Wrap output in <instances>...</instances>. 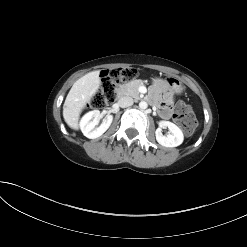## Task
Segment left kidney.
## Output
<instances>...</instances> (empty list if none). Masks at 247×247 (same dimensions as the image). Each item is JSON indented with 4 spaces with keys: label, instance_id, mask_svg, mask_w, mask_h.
Instances as JSON below:
<instances>
[{
    "label": "left kidney",
    "instance_id": "5707ae66",
    "mask_svg": "<svg viewBox=\"0 0 247 247\" xmlns=\"http://www.w3.org/2000/svg\"><path fill=\"white\" fill-rule=\"evenodd\" d=\"M168 127L171 134L164 136L162 134V128ZM156 140L159 144L165 147H177L182 144L184 140L183 133L181 129L174 123L169 121H160L159 127L156 129Z\"/></svg>",
    "mask_w": 247,
    "mask_h": 247
}]
</instances>
